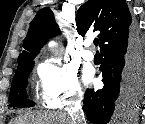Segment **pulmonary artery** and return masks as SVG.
<instances>
[{"label": "pulmonary artery", "mask_w": 145, "mask_h": 124, "mask_svg": "<svg viewBox=\"0 0 145 124\" xmlns=\"http://www.w3.org/2000/svg\"><path fill=\"white\" fill-rule=\"evenodd\" d=\"M89 46H90V42H86L85 47L88 48ZM82 57L86 61H92L94 59V53L91 50L86 49L83 52Z\"/></svg>", "instance_id": "e3ab8cb5"}]
</instances>
